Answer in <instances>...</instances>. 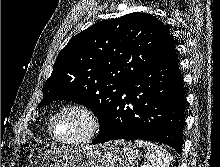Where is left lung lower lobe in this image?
I'll return each mask as SVG.
<instances>
[{
  "label": "left lung lower lobe",
  "mask_w": 220,
  "mask_h": 167,
  "mask_svg": "<svg viewBox=\"0 0 220 167\" xmlns=\"http://www.w3.org/2000/svg\"><path fill=\"white\" fill-rule=\"evenodd\" d=\"M175 50L130 79L92 144L143 139L181 152L184 84Z\"/></svg>",
  "instance_id": "1"
}]
</instances>
